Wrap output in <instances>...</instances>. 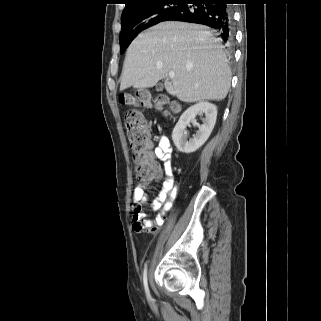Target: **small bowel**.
Masks as SVG:
<instances>
[{"instance_id": "c3829d8e", "label": "small bowel", "mask_w": 321, "mask_h": 321, "mask_svg": "<svg viewBox=\"0 0 321 321\" xmlns=\"http://www.w3.org/2000/svg\"><path fill=\"white\" fill-rule=\"evenodd\" d=\"M172 146L169 139L166 136H161L158 140V145L151 150V144H149V155L158 167V175L155 178H163L161 188L151 202L150 207L153 210H159L163 208V212L158 214L154 221L147 220L145 214L142 212V206L147 202L146 189L149 186L148 183L140 182L133 192V229L136 232H151L156 234L160 227L164 224L165 216L164 212L171 209L173 201L177 195V188L175 185L174 172L172 167ZM163 162V167L155 160ZM137 207L139 210L137 211Z\"/></svg>"}]
</instances>
